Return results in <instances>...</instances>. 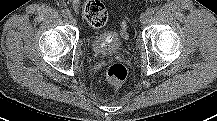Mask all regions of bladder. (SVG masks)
<instances>
[{"instance_id": "1", "label": "bladder", "mask_w": 217, "mask_h": 121, "mask_svg": "<svg viewBox=\"0 0 217 121\" xmlns=\"http://www.w3.org/2000/svg\"><path fill=\"white\" fill-rule=\"evenodd\" d=\"M121 47L120 40L114 36L109 39L107 36L98 35L94 38V51L101 55H108L117 52Z\"/></svg>"}]
</instances>
